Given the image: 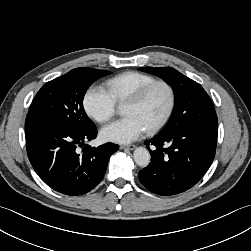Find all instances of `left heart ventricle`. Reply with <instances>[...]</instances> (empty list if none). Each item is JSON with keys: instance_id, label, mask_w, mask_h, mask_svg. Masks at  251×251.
<instances>
[{"instance_id": "b2bd125f", "label": "left heart ventricle", "mask_w": 251, "mask_h": 251, "mask_svg": "<svg viewBox=\"0 0 251 251\" xmlns=\"http://www.w3.org/2000/svg\"><path fill=\"white\" fill-rule=\"evenodd\" d=\"M170 97L164 86L155 87L140 104H126L125 116L137 117L149 129L156 125L166 114Z\"/></svg>"}]
</instances>
